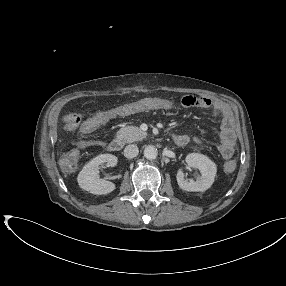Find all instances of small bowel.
Instances as JSON below:
<instances>
[{"mask_svg":"<svg viewBox=\"0 0 286 286\" xmlns=\"http://www.w3.org/2000/svg\"><path fill=\"white\" fill-rule=\"evenodd\" d=\"M180 104L184 108L198 107L210 109L216 116L221 118V143L219 145V150L225 159L231 158L236 144V135L234 131V122L227 107L205 96H185L181 99ZM173 107L174 103L168 99L146 98L134 103L116 107L109 111L96 113L83 122H81V118L78 122L73 120L72 113L65 115L62 120L64 128L68 131H73L78 127H81L82 132L83 129L87 130V132L83 133H89L116 117L126 116L144 110H170ZM175 137L177 138L176 140L181 139L183 141L181 146H184L189 142V137L185 134H178L175 135ZM74 143L80 148L104 145V141L92 138H77Z\"/></svg>","mask_w":286,"mask_h":286,"instance_id":"c3829d8e","label":"small bowel"}]
</instances>
